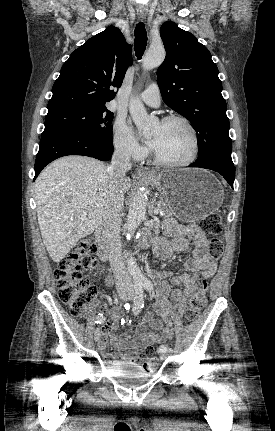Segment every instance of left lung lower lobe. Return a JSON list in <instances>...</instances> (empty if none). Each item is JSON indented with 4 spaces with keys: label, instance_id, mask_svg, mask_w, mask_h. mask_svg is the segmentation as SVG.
<instances>
[{
    "label": "left lung lower lobe",
    "instance_id": "1",
    "mask_svg": "<svg viewBox=\"0 0 275 431\" xmlns=\"http://www.w3.org/2000/svg\"><path fill=\"white\" fill-rule=\"evenodd\" d=\"M189 167H201L220 173L233 188L235 168L230 155L212 156L203 160H196Z\"/></svg>",
    "mask_w": 275,
    "mask_h": 431
}]
</instances>
